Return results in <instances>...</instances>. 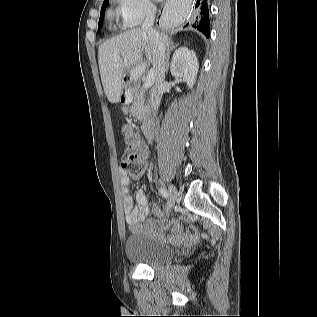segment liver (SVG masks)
Here are the masks:
<instances>
[{"mask_svg":"<svg viewBox=\"0 0 317 317\" xmlns=\"http://www.w3.org/2000/svg\"><path fill=\"white\" fill-rule=\"evenodd\" d=\"M158 34L164 48L173 43L164 32ZM143 53L153 65L154 70L156 64L154 47L147 33L140 28L131 29L112 37L99 46V70L104 92L109 102L120 101L124 88L123 76L126 72L134 70L139 76L144 71L146 66L140 65Z\"/></svg>","mask_w":317,"mask_h":317,"instance_id":"1","label":"liver"}]
</instances>
